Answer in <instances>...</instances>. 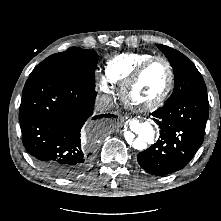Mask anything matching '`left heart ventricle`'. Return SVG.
Listing matches in <instances>:
<instances>
[{"label": "left heart ventricle", "mask_w": 221, "mask_h": 221, "mask_svg": "<svg viewBox=\"0 0 221 221\" xmlns=\"http://www.w3.org/2000/svg\"><path fill=\"white\" fill-rule=\"evenodd\" d=\"M169 74L166 65L154 62L143 73L132 89L131 97L138 103H147L157 98L166 88Z\"/></svg>", "instance_id": "b2bd125f"}]
</instances>
